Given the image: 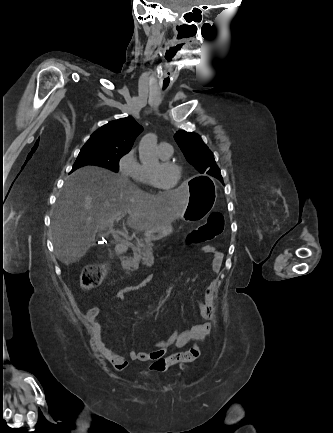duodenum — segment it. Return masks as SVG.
I'll return each instance as SVG.
<instances>
[{
    "mask_svg": "<svg viewBox=\"0 0 333 433\" xmlns=\"http://www.w3.org/2000/svg\"><path fill=\"white\" fill-rule=\"evenodd\" d=\"M141 240L143 242H145V241H147V242L149 241L150 242L152 239L150 237L149 238L148 237L147 238L143 237ZM124 244L126 246H128L130 243L128 241H126ZM120 247L123 249L125 246L122 244ZM120 247H118L116 249L118 252H120L122 250ZM136 262H137L136 258H130V259L129 258L128 259L127 258H120V263H123V268H137L138 264Z\"/></svg>",
    "mask_w": 333,
    "mask_h": 433,
    "instance_id": "410a0bca",
    "label": "duodenum"
}]
</instances>
